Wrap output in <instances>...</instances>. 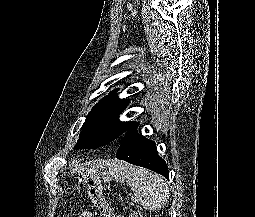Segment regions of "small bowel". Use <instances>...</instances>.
Here are the masks:
<instances>
[{
  "instance_id": "c3829d8e",
  "label": "small bowel",
  "mask_w": 255,
  "mask_h": 217,
  "mask_svg": "<svg viewBox=\"0 0 255 217\" xmlns=\"http://www.w3.org/2000/svg\"><path fill=\"white\" fill-rule=\"evenodd\" d=\"M106 207H107V212L102 214L104 215V217H111V211L107 203H106ZM78 217H94V214L91 211H83L79 214Z\"/></svg>"
}]
</instances>
